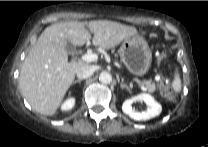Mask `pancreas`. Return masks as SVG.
<instances>
[{
    "mask_svg": "<svg viewBox=\"0 0 208 147\" xmlns=\"http://www.w3.org/2000/svg\"><path fill=\"white\" fill-rule=\"evenodd\" d=\"M147 88L150 90V91H153L155 89V85L154 83H147Z\"/></svg>",
    "mask_w": 208,
    "mask_h": 147,
    "instance_id": "pancreas-1",
    "label": "pancreas"
}]
</instances>
